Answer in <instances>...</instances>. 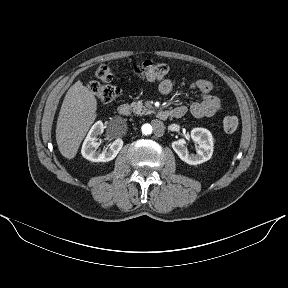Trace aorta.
Returning <instances> with one entry per match:
<instances>
[{
	"instance_id": "1",
	"label": "aorta",
	"mask_w": 288,
	"mask_h": 288,
	"mask_svg": "<svg viewBox=\"0 0 288 288\" xmlns=\"http://www.w3.org/2000/svg\"><path fill=\"white\" fill-rule=\"evenodd\" d=\"M142 132L145 135H149V134H151L153 132V128H152V126L150 124H144L142 126Z\"/></svg>"
}]
</instances>
